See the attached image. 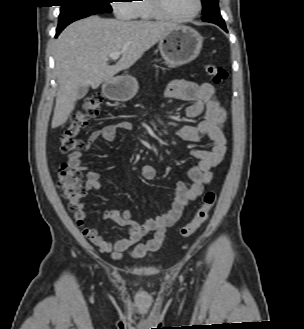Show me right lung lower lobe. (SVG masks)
<instances>
[{"label":"right lung lower lobe","mask_w":304,"mask_h":329,"mask_svg":"<svg viewBox=\"0 0 304 329\" xmlns=\"http://www.w3.org/2000/svg\"><path fill=\"white\" fill-rule=\"evenodd\" d=\"M64 28H65V27L57 28V31H56V37L59 35V33H60Z\"/></svg>","instance_id":"1"}]
</instances>
